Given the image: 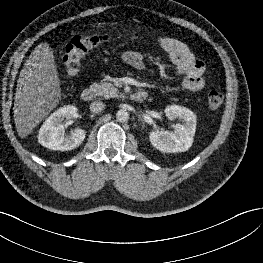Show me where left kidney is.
I'll return each mask as SVG.
<instances>
[{
	"instance_id": "5707ae66",
	"label": "left kidney",
	"mask_w": 263,
	"mask_h": 263,
	"mask_svg": "<svg viewBox=\"0 0 263 263\" xmlns=\"http://www.w3.org/2000/svg\"><path fill=\"white\" fill-rule=\"evenodd\" d=\"M165 114L169 120L180 119L183 124H176L174 132L155 130L149 133L151 144L164 153L187 151L193 143L196 129V116L186 107L171 105L166 107Z\"/></svg>"
}]
</instances>
